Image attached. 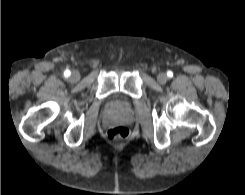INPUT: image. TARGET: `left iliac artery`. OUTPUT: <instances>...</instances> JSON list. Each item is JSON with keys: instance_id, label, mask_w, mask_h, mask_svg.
<instances>
[{"instance_id": "obj_1", "label": "left iliac artery", "mask_w": 245, "mask_h": 195, "mask_svg": "<svg viewBox=\"0 0 245 195\" xmlns=\"http://www.w3.org/2000/svg\"><path fill=\"white\" fill-rule=\"evenodd\" d=\"M167 76H168V77H172V76H173L172 71H168V72H167Z\"/></svg>"}]
</instances>
